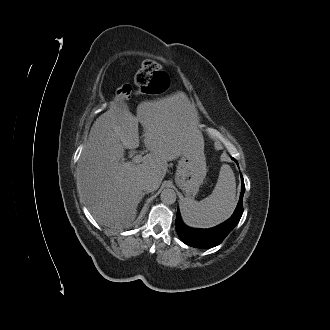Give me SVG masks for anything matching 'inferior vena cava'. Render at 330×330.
Returning a JSON list of instances; mask_svg holds the SVG:
<instances>
[{"mask_svg": "<svg viewBox=\"0 0 330 330\" xmlns=\"http://www.w3.org/2000/svg\"><path fill=\"white\" fill-rule=\"evenodd\" d=\"M158 187V183L153 177H146L141 181V188L147 193L155 191Z\"/></svg>", "mask_w": 330, "mask_h": 330, "instance_id": "602c4592", "label": "inferior vena cava"}]
</instances>
